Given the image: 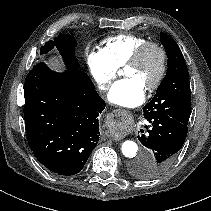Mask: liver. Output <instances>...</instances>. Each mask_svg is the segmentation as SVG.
<instances>
[{"instance_id":"obj_1","label":"liver","mask_w":211,"mask_h":211,"mask_svg":"<svg viewBox=\"0 0 211 211\" xmlns=\"http://www.w3.org/2000/svg\"><path fill=\"white\" fill-rule=\"evenodd\" d=\"M49 66L56 70V71H61L62 70V64L59 62L57 58H51L48 62Z\"/></svg>"}]
</instances>
